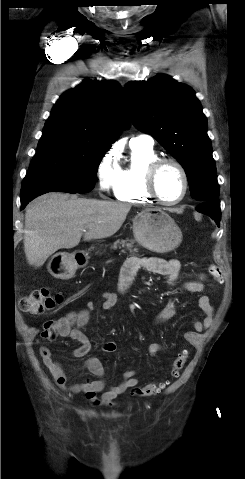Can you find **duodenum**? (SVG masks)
I'll return each mask as SVG.
<instances>
[{
	"label": "duodenum",
	"instance_id": "obj_1",
	"mask_svg": "<svg viewBox=\"0 0 245 479\" xmlns=\"http://www.w3.org/2000/svg\"><path fill=\"white\" fill-rule=\"evenodd\" d=\"M77 261H78V263H79L80 265H83L84 262H85V256H84V255L81 256V259H77Z\"/></svg>",
	"mask_w": 245,
	"mask_h": 479
}]
</instances>
